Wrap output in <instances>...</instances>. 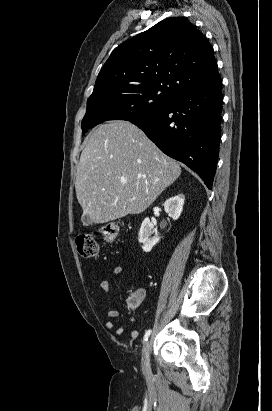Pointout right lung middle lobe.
<instances>
[{"mask_svg":"<svg viewBox=\"0 0 272 411\" xmlns=\"http://www.w3.org/2000/svg\"><path fill=\"white\" fill-rule=\"evenodd\" d=\"M175 97L157 87H125L93 92L82 120L83 133L108 120L133 121L149 117L166 108Z\"/></svg>","mask_w":272,"mask_h":411,"instance_id":"obj_1","label":"right lung middle lobe"}]
</instances>
